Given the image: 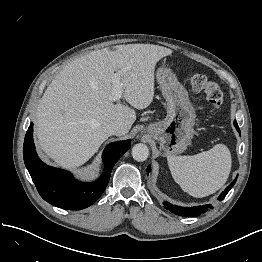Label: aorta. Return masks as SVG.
Instances as JSON below:
<instances>
[{"label": "aorta", "mask_w": 262, "mask_h": 262, "mask_svg": "<svg viewBox=\"0 0 262 262\" xmlns=\"http://www.w3.org/2000/svg\"><path fill=\"white\" fill-rule=\"evenodd\" d=\"M148 156L149 149L145 144L139 143L133 146L132 157L134 158V160L138 162H143L148 158Z\"/></svg>", "instance_id": "aorta-1"}]
</instances>
